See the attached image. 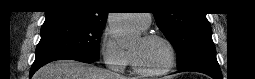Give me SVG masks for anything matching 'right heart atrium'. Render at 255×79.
Here are the masks:
<instances>
[{
    "label": "right heart atrium",
    "mask_w": 255,
    "mask_h": 79,
    "mask_svg": "<svg viewBox=\"0 0 255 79\" xmlns=\"http://www.w3.org/2000/svg\"><path fill=\"white\" fill-rule=\"evenodd\" d=\"M101 53L107 65L122 72L130 63V54L121 48L106 30L101 38Z\"/></svg>",
    "instance_id": "1"
}]
</instances>
